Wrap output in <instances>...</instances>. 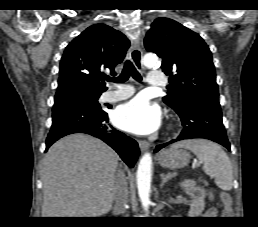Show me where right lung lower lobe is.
<instances>
[{
    "instance_id": "1",
    "label": "right lung lower lobe",
    "mask_w": 258,
    "mask_h": 227,
    "mask_svg": "<svg viewBox=\"0 0 258 227\" xmlns=\"http://www.w3.org/2000/svg\"><path fill=\"white\" fill-rule=\"evenodd\" d=\"M52 117L46 150L63 136L87 133L110 145L129 167L134 166L139 155L137 142L108 126V115L105 111H93L82 104L66 102L53 107Z\"/></svg>"
}]
</instances>
